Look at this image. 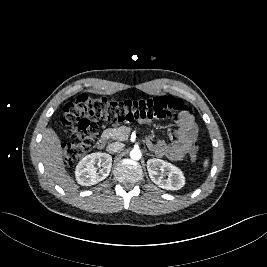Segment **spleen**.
Wrapping results in <instances>:
<instances>
[{"label":"spleen","instance_id":"3e777b00","mask_svg":"<svg viewBox=\"0 0 267 267\" xmlns=\"http://www.w3.org/2000/svg\"><path fill=\"white\" fill-rule=\"evenodd\" d=\"M207 166H208V160H205L204 167H207Z\"/></svg>","mask_w":267,"mask_h":267}]
</instances>
